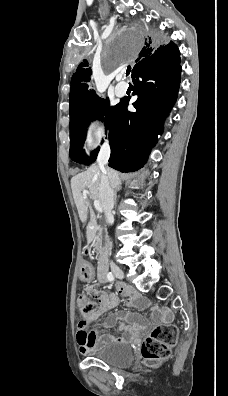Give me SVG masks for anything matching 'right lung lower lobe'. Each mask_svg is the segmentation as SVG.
Returning a JSON list of instances; mask_svg holds the SVG:
<instances>
[{"mask_svg": "<svg viewBox=\"0 0 228 396\" xmlns=\"http://www.w3.org/2000/svg\"><path fill=\"white\" fill-rule=\"evenodd\" d=\"M139 63L132 74L134 94L138 95L132 103L136 111H128L130 98H123L109 128V166L121 172H133L145 164L176 101L180 84V54L174 43L160 46Z\"/></svg>", "mask_w": 228, "mask_h": 396, "instance_id": "1", "label": "right lung lower lobe"}]
</instances>
